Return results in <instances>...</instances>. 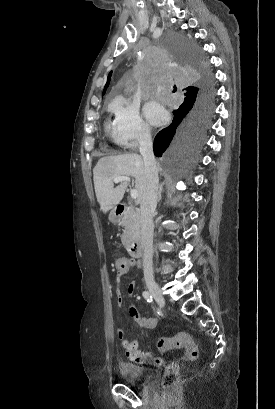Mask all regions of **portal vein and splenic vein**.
Masks as SVG:
<instances>
[{"mask_svg": "<svg viewBox=\"0 0 275 409\" xmlns=\"http://www.w3.org/2000/svg\"><path fill=\"white\" fill-rule=\"evenodd\" d=\"M113 180H114V182H122V180H127V182H130L129 176H115V178H113ZM130 194H131L132 198H137L138 190H136V188H131Z\"/></svg>", "mask_w": 275, "mask_h": 409, "instance_id": "obj_1", "label": "portal vein and splenic vein"}]
</instances>
